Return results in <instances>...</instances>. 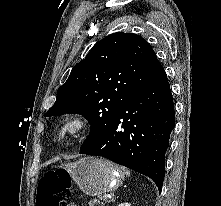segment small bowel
<instances>
[{
    "mask_svg": "<svg viewBox=\"0 0 221 206\" xmlns=\"http://www.w3.org/2000/svg\"><path fill=\"white\" fill-rule=\"evenodd\" d=\"M68 206H76L74 203H69Z\"/></svg>",
    "mask_w": 221,
    "mask_h": 206,
    "instance_id": "c3829d8e",
    "label": "small bowel"
}]
</instances>
